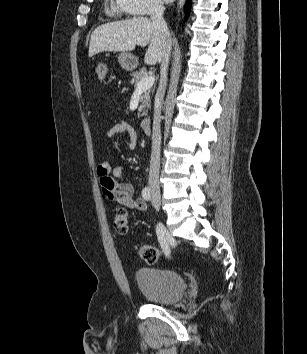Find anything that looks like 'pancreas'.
Masks as SVG:
<instances>
[{"instance_id":"1","label":"pancreas","mask_w":307,"mask_h":354,"mask_svg":"<svg viewBox=\"0 0 307 354\" xmlns=\"http://www.w3.org/2000/svg\"><path fill=\"white\" fill-rule=\"evenodd\" d=\"M149 77V73L147 72V70L145 68H141L139 71L134 72L132 74V79L130 81L131 84H134L135 87L137 86V84L143 79ZM151 93L152 90L148 89L146 91L143 92L142 96H141V105L138 108V116H146L147 115V109L150 107V102H151Z\"/></svg>"}]
</instances>
